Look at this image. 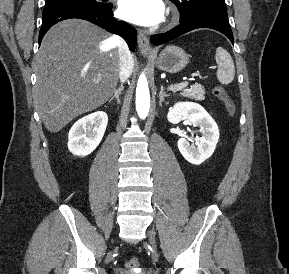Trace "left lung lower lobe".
<instances>
[{
  "label": "left lung lower lobe",
  "mask_w": 289,
  "mask_h": 274,
  "mask_svg": "<svg viewBox=\"0 0 289 274\" xmlns=\"http://www.w3.org/2000/svg\"><path fill=\"white\" fill-rule=\"evenodd\" d=\"M198 28H210L217 30L227 36L232 44L234 42L228 16L227 14L223 13L199 14L187 21L181 22L180 25L171 31L151 36L150 40L153 45L157 46Z\"/></svg>",
  "instance_id": "obj_1"
}]
</instances>
